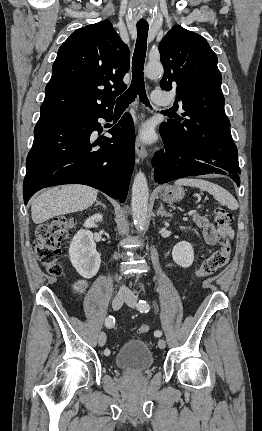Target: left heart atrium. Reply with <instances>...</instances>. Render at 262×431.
I'll return each mask as SVG.
<instances>
[{
  "label": "left heart atrium",
  "mask_w": 262,
  "mask_h": 431,
  "mask_svg": "<svg viewBox=\"0 0 262 431\" xmlns=\"http://www.w3.org/2000/svg\"><path fill=\"white\" fill-rule=\"evenodd\" d=\"M142 137L144 140L149 141L151 138V130L149 128L145 127L142 130Z\"/></svg>",
  "instance_id": "39dd6f15"
}]
</instances>
